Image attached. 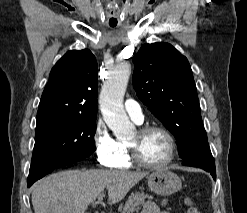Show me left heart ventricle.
Listing matches in <instances>:
<instances>
[{
    "instance_id": "b2bd125f",
    "label": "left heart ventricle",
    "mask_w": 247,
    "mask_h": 213,
    "mask_svg": "<svg viewBox=\"0 0 247 213\" xmlns=\"http://www.w3.org/2000/svg\"><path fill=\"white\" fill-rule=\"evenodd\" d=\"M128 142L137 146L140 157L146 162L158 164L168 156V141L159 131H151L143 136H139L135 132Z\"/></svg>"
}]
</instances>
